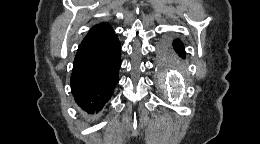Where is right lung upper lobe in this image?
I'll return each mask as SVG.
<instances>
[{"label":"right lung upper lobe","mask_w":260,"mask_h":144,"mask_svg":"<svg viewBox=\"0 0 260 144\" xmlns=\"http://www.w3.org/2000/svg\"><path fill=\"white\" fill-rule=\"evenodd\" d=\"M112 34H114V31L108 23H100L89 30L82 42L96 40Z\"/></svg>","instance_id":"1"}]
</instances>
